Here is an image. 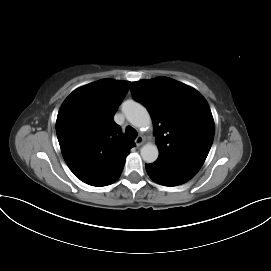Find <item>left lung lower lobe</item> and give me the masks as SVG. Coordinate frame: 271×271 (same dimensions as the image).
Listing matches in <instances>:
<instances>
[{
	"label": "left lung lower lobe",
	"instance_id": "obj_1",
	"mask_svg": "<svg viewBox=\"0 0 271 271\" xmlns=\"http://www.w3.org/2000/svg\"><path fill=\"white\" fill-rule=\"evenodd\" d=\"M146 171L150 178L164 186H176L190 180L199 170L191 165L160 158L153 164H146Z\"/></svg>",
	"mask_w": 271,
	"mask_h": 271
}]
</instances>
